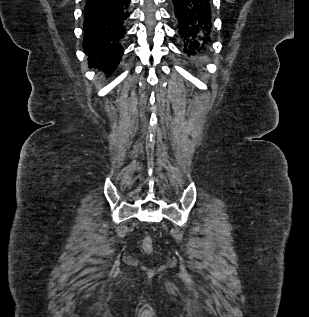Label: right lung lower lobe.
Returning a JSON list of instances; mask_svg holds the SVG:
<instances>
[{"label":"right lung lower lobe","instance_id":"right-lung-lower-lobe-1","mask_svg":"<svg viewBox=\"0 0 309 317\" xmlns=\"http://www.w3.org/2000/svg\"><path fill=\"white\" fill-rule=\"evenodd\" d=\"M130 0H87L85 6L84 52L89 67L114 71L124 52Z\"/></svg>","mask_w":309,"mask_h":317}]
</instances>
